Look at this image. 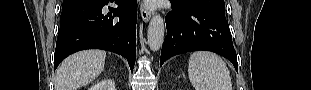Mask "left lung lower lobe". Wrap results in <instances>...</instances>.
<instances>
[{
    "label": "left lung lower lobe",
    "instance_id": "1",
    "mask_svg": "<svg viewBox=\"0 0 311 90\" xmlns=\"http://www.w3.org/2000/svg\"><path fill=\"white\" fill-rule=\"evenodd\" d=\"M172 4L166 16L167 36L160 57V66L172 56L197 50L218 53L230 60L237 70V56L228 21L217 14L182 9Z\"/></svg>",
    "mask_w": 311,
    "mask_h": 90
}]
</instances>
